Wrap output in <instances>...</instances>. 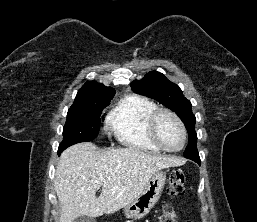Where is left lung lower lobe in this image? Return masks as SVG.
<instances>
[{
    "mask_svg": "<svg viewBox=\"0 0 257 222\" xmlns=\"http://www.w3.org/2000/svg\"><path fill=\"white\" fill-rule=\"evenodd\" d=\"M195 162H197L199 165L201 163L200 159H197Z\"/></svg>",
    "mask_w": 257,
    "mask_h": 222,
    "instance_id": "obj_1",
    "label": "left lung lower lobe"
}]
</instances>
